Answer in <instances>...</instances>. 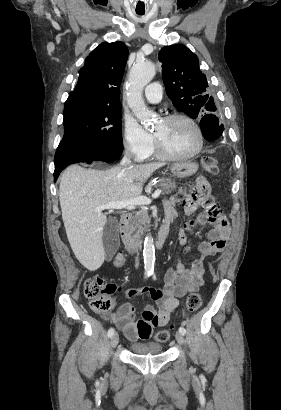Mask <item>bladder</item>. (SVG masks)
I'll list each match as a JSON object with an SVG mask.
<instances>
[{
	"label": "bladder",
	"instance_id": "bladder-1",
	"mask_svg": "<svg viewBox=\"0 0 281 410\" xmlns=\"http://www.w3.org/2000/svg\"><path fill=\"white\" fill-rule=\"evenodd\" d=\"M130 351L135 355H155L163 352V346L154 342L132 343Z\"/></svg>",
	"mask_w": 281,
	"mask_h": 410
}]
</instances>
